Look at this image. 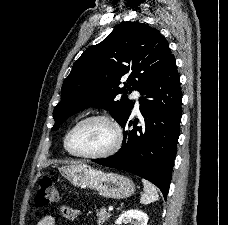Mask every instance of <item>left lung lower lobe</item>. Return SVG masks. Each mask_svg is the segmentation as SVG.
<instances>
[{"mask_svg": "<svg viewBox=\"0 0 228 225\" xmlns=\"http://www.w3.org/2000/svg\"><path fill=\"white\" fill-rule=\"evenodd\" d=\"M141 94L145 95L139 99L145 125L136 127L138 120L134 121L133 129L124 133L120 150L113 156L93 162L147 179L161 190L166 199L182 116L180 79L173 55ZM129 116L121 124L123 128L132 125Z\"/></svg>", "mask_w": 228, "mask_h": 225, "instance_id": "left-lung-lower-lobe-1", "label": "left lung lower lobe"}]
</instances>
